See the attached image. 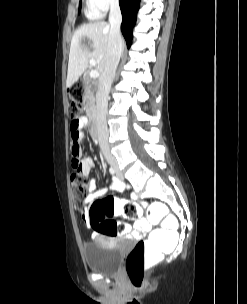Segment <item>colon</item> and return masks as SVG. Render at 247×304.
Listing matches in <instances>:
<instances>
[{"instance_id":"colon-1","label":"colon","mask_w":247,"mask_h":304,"mask_svg":"<svg viewBox=\"0 0 247 304\" xmlns=\"http://www.w3.org/2000/svg\"><path fill=\"white\" fill-rule=\"evenodd\" d=\"M84 86L77 82L68 89V113L73 120L78 121L82 111ZM88 181L79 171L74 169L71 176V190L76 206L85 207ZM150 218H146V225H153V232L148 239L141 240L132 248L126 259V273L130 284L140 288L144 281V272L155 259H162V253H173L175 244H178L177 232L179 220L177 214H171L167 202H150L147 207ZM141 214L138 204L126 200L106 197L95 200L89 210V218L94 230L108 236L120 233L126 235L128 230L111 218L121 215L134 219Z\"/></svg>"}]
</instances>
